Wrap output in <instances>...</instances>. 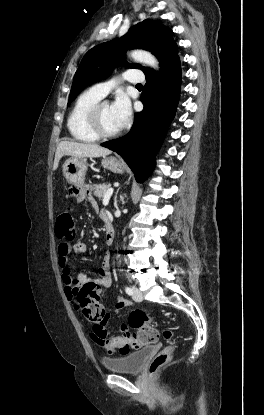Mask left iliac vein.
Masks as SVG:
<instances>
[{"label": "left iliac vein", "instance_id": "left-iliac-vein-1", "mask_svg": "<svg viewBox=\"0 0 264 415\" xmlns=\"http://www.w3.org/2000/svg\"><path fill=\"white\" fill-rule=\"evenodd\" d=\"M132 298L135 301H138V302H140V301L143 300V295H142L141 291L139 290V288L133 287V295H132Z\"/></svg>", "mask_w": 264, "mask_h": 415}]
</instances>
